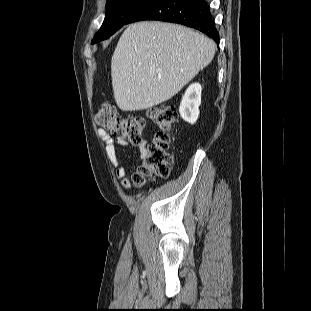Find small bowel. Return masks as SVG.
<instances>
[{
	"instance_id": "c3829d8e",
	"label": "small bowel",
	"mask_w": 311,
	"mask_h": 311,
	"mask_svg": "<svg viewBox=\"0 0 311 311\" xmlns=\"http://www.w3.org/2000/svg\"><path fill=\"white\" fill-rule=\"evenodd\" d=\"M97 134L102 140L105 148V153L109 162L115 168L116 177L120 180L121 186L124 189H129L133 183V176L127 174V170L124 165L119 163L117 146H126L128 142L123 137H118L113 139L104 129H98ZM137 147L140 152V158L142 159L147 151V143L145 140H142L137 144Z\"/></svg>"
}]
</instances>
